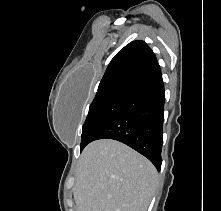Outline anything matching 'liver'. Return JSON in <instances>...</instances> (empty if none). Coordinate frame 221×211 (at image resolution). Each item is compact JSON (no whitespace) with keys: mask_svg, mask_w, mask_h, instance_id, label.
I'll return each mask as SVG.
<instances>
[{"mask_svg":"<svg viewBox=\"0 0 221 211\" xmlns=\"http://www.w3.org/2000/svg\"><path fill=\"white\" fill-rule=\"evenodd\" d=\"M158 172L127 145L97 140L83 150L73 189L77 211H146Z\"/></svg>","mask_w":221,"mask_h":211,"instance_id":"obj_1","label":"liver"}]
</instances>
